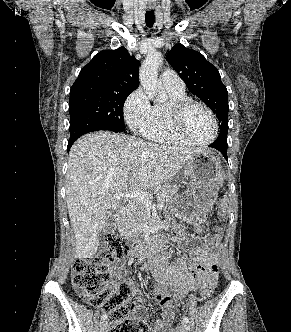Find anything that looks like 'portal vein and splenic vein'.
I'll return each instance as SVG.
<instances>
[{
  "mask_svg": "<svg viewBox=\"0 0 291 332\" xmlns=\"http://www.w3.org/2000/svg\"><path fill=\"white\" fill-rule=\"evenodd\" d=\"M150 194L148 192H144V191H140V190H136V191H129L126 193H122V192H118L116 194H114L113 199L114 200H129V199H134L137 200L139 202H142L146 205H151V200H150ZM158 208H163L164 204L163 203H158L157 204Z\"/></svg>",
  "mask_w": 291,
  "mask_h": 332,
  "instance_id": "portal-vein-and-splenic-vein-1",
  "label": "portal vein and splenic vein"
}]
</instances>
